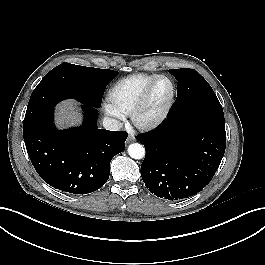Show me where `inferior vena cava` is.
<instances>
[{
	"label": "inferior vena cava",
	"instance_id": "602c4592",
	"mask_svg": "<svg viewBox=\"0 0 265 265\" xmlns=\"http://www.w3.org/2000/svg\"><path fill=\"white\" fill-rule=\"evenodd\" d=\"M103 126L110 131H119L122 129V123L120 121L108 117L103 119Z\"/></svg>",
	"mask_w": 265,
	"mask_h": 265
}]
</instances>
